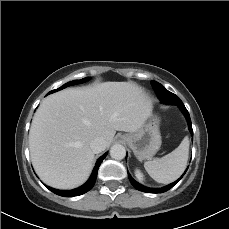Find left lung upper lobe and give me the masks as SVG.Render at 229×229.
Returning <instances> with one entry per match:
<instances>
[{
  "instance_id": "5c2ea615",
  "label": "left lung upper lobe",
  "mask_w": 229,
  "mask_h": 229,
  "mask_svg": "<svg viewBox=\"0 0 229 229\" xmlns=\"http://www.w3.org/2000/svg\"><path fill=\"white\" fill-rule=\"evenodd\" d=\"M151 85L155 90L158 98L166 104H179L182 102L178 96L166 90L160 83L151 81Z\"/></svg>"
}]
</instances>
